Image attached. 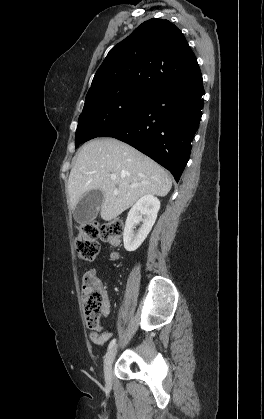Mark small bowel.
<instances>
[{
    "label": "small bowel",
    "mask_w": 264,
    "mask_h": 419,
    "mask_svg": "<svg viewBox=\"0 0 264 419\" xmlns=\"http://www.w3.org/2000/svg\"><path fill=\"white\" fill-rule=\"evenodd\" d=\"M98 272H99V269L97 267H94V268H92L88 271V273H92L94 275H97ZM103 314H104V316H108L110 314V304H109L108 301H107V304H106L105 309L103 311ZM110 337H111V333H109V332H105V333H102V334H99L98 332H92L90 334V339L93 342H95L97 344H100V345L106 343L110 339Z\"/></svg>",
    "instance_id": "obj_1"
}]
</instances>
